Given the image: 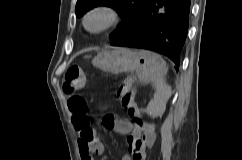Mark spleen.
I'll use <instances>...</instances> for the list:
<instances>
[{
    "mask_svg": "<svg viewBox=\"0 0 242 160\" xmlns=\"http://www.w3.org/2000/svg\"><path fill=\"white\" fill-rule=\"evenodd\" d=\"M151 69L153 71V77L151 81L153 82L156 93L154 95V100H152L148 107V111L153 113L158 111L157 106H160L171 94L170 89L165 86L163 77L167 73L168 69L166 67L165 61L161 58L160 55L153 53L151 61ZM165 90L163 94L162 91Z\"/></svg>",
    "mask_w": 242,
    "mask_h": 160,
    "instance_id": "1",
    "label": "spleen"
}]
</instances>
